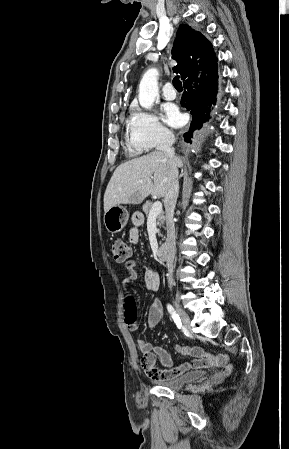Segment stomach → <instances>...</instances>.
Returning <instances> with one entry per match:
<instances>
[{"label": "stomach", "instance_id": "stomach-1", "mask_svg": "<svg viewBox=\"0 0 289 449\" xmlns=\"http://www.w3.org/2000/svg\"><path fill=\"white\" fill-rule=\"evenodd\" d=\"M129 213L122 205H115L104 213V224L111 233L120 232L127 224Z\"/></svg>", "mask_w": 289, "mask_h": 449}]
</instances>
